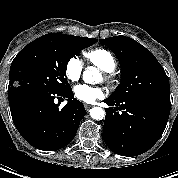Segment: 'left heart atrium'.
Instances as JSON below:
<instances>
[{
    "label": "left heart atrium",
    "mask_w": 178,
    "mask_h": 178,
    "mask_svg": "<svg viewBox=\"0 0 178 178\" xmlns=\"http://www.w3.org/2000/svg\"><path fill=\"white\" fill-rule=\"evenodd\" d=\"M75 97L86 103H93L101 99L105 95V90L102 87H93L86 84H79L74 88Z\"/></svg>",
    "instance_id": "39dd6f15"
}]
</instances>
